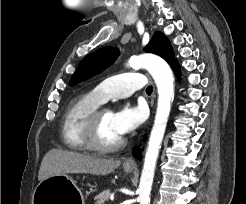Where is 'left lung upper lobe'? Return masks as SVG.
Segmentation results:
<instances>
[{"label":"left lung upper lobe","mask_w":246,"mask_h":204,"mask_svg":"<svg viewBox=\"0 0 246 204\" xmlns=\"http://www.w3.org/2000/svg\"><path fill=\"white\" fill-rule=\"evenodd\" d=\"M146 52L154 53L165 59L170 65L175 62L174 52L168 38L161 32H156L150 43L145 47ZM116 47H104L87 55L78 65L72 75L69 85L73 86L96 75L110 66L118 57Z\"/></svg>","instance_id":"5c2ea615"}]
</instances>
